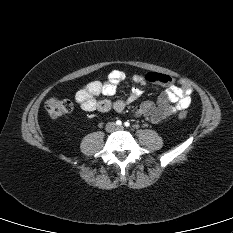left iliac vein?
Wrapping results in <instances>:
<instances>
[{
    "label": "left iliac vein",
    "mask_w": 233,
    "mask_h": 233,
    "mask_svg": "<svg viewBox=\"0 0 233 233\" xmlns=\"http://www.w3.org/2000/svg\"><path fill=\"white\" fill-rule=\"evenodd\" d=\"M117 129H123V126H118Z\"/></svg>",
    "instance_id": "1"
}]
</instances>
